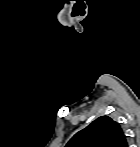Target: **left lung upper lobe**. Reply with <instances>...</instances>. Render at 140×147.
Returning <instances> with one entry per match:
<instances>
[{
  "instance_id": "left-lung-upper-lobe-1",
  "label": "left lung upper lobe",
  "mask_w": 140,
  "mask_h": 147,
  "mask_svg": "<svg viewBox=\"0 0 140 147\" xmlns=\"http://www.w3.org/2000/svg\"><path fill=\"white\" fill-rule=\"evenodd\" d=\"M66 147H128V142L117 122L101 116L76 133Z\"/></svg>"
}]
</instances>
